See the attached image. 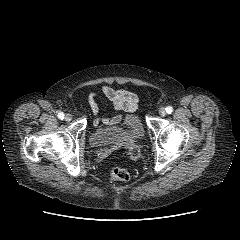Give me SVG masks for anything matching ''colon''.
Returning a JSON list of instances; mask_svg holds the SVG:
<instances>
[{
	"label": "colon",
	"mask_w": 240,
	"mask_h": 240,
	"mask_svg": "<svg viewBox=\"0 0 240 240\" xmlns=\"http://www.w3.org/2000/svg\"><path fill=\"white\" fill-rule=\"evenodd\" d=\"M132 157L138 155L137 147H133L131 150ZM110 177L115 181L127 182L130 179V174L127 170L119 167H115L110 171Z\"/></svg>",
	"instance_id": "1"
}]
</instances>
